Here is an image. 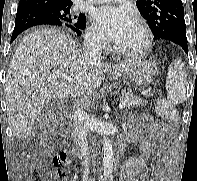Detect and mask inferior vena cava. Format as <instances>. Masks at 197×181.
Instances as JSON below:
<instances>
[{
	"mask_svg": "<svg viewBox=\"0 0 197 181\" xmlns=\"http://www.w3.org/2000/svg\"><path fill=\"white\" fill-rule=\"evenodd\" d=\"M84 55L90 63H99L102 57V37L98 32H89L84 36ZM75 136L81 152L84 167L82 181H89V115L82 107H77L73 113Z\"/></svg>",
	"mask_w": 197,
	"mask_h": 181,
	"instance_id": "inferior-vena-cava-1",
	"label": "inferior vena cava"
}]
</instances>
